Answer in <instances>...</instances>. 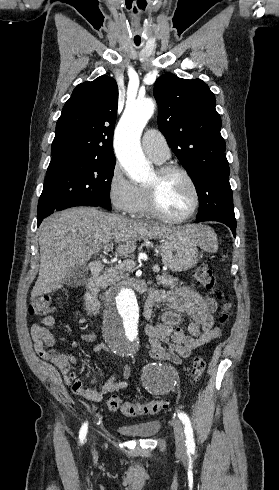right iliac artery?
Returning a JSON list of instances; mask_svg holds the SVG:
<instances>
[{
  "mask_svg": "<svg viewBox=\"0 0 279 490\" xmlns=\"http://www.w3.org/2000/svg\"><path fill=\"white\" fill-rule=\"evenodd\" d=\"M86 433H87V423H85L82 426L80 433H79V439H80L81 443H83V440L85 439Z\"/></svg>",
  "mask_w": 279,
  "mask_h": 490,
  "instance_id": "1",
  "label": "right iliac artery"
}]
</instances>
